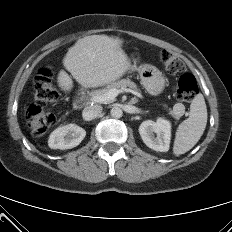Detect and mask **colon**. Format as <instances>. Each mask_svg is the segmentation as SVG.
I'll return each mask as SVG.
<instances>
[{
	"instance_id": "colon-1",
	"label": "colon",
	"mask_w": 232,
	"mask_h": 232,
	"mask_svg": "<svg viewBox=\"0 0 232 232\" xmlns=\"http://www.w3.org/2000/svg\"><path fill=\"white\" fill-rule=\"evenodd\" d=\"M159 60L168 74L182 73L177 84V98L184 102L195 99L199 92L198 84L191 73L184 72L183 60L168 50L160 52ZM58 99L59 94L51 82L49 73L41 71L35 79L34 101L26 114L27 124L34 136H43L54 125V115L45 108L47 105L57 102Z\"/></svg>"
}]
</instances>
